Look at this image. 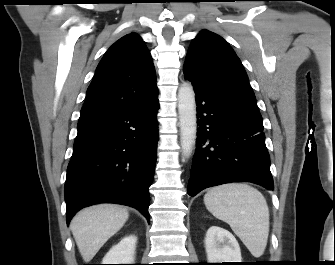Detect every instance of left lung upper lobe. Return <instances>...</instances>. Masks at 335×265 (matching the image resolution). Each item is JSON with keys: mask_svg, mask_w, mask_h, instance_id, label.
<instances>
[{"mask_svg": "<svg viewBox=\"0 0 335 265\" xmlns=\"http://www.w3.org/2000/svg\"><path fill=\"white\" fill-rule=\"evenodd\" d=\"M184 75L194 84L259 111L241 61L229 44L211 31L202 30L193 40Z\"/></svg>", "mask_w": 335, "mask_h": 265, "instance_id": "obj_1", "label": "left lung upper lobe"}]
</instances>
